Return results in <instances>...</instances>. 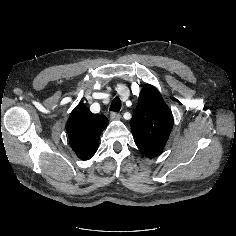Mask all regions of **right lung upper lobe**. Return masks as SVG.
<instances>
[{
  "label": "right lung upper lobe",
  "instance_id": "cb5924a9",
  "mask_svg": "<svg viewBox=\"0 0 236 236\" xmlns=\"http://www.w3.org/2000/svg\"><path fill=\"white\" fill-rule=\"evenodd\" d=\"M108 124L104 115L93 114L85 104H79L67 123L69 142L82 160L90 159L98 149L101 132Z\"/></svg>",
  "mask_w": 236,
  "mask_h": 236
}]
</instances>
